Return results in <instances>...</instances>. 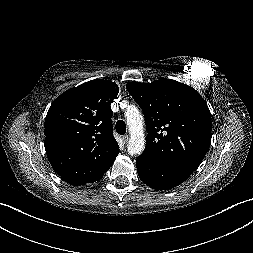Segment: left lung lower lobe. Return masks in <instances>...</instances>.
I'll use <instances>...</instances> for the list:
<instances>
[{
	"mask_svg": "<svg viewBox=\"0 0 253 253\" xmlns=\"http://www.w3.org/2000/svg\"><path fill=\"white\" fill-rule=\"evenodd\" d=\"M136 164L140 179L156 190H168L178 186L194 171L190 168L163 167L143 153L137 158Z\"/></svg>",
	"mask_w": 253,
	"mask_h": 253,
	"instance_id": "0a47b994",
	"label": "left lung lower lobe"
}]
</instances>
